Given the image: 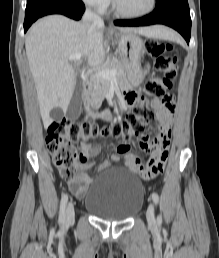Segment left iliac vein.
<instances>
[{"label": "left iliac vein", "instance_id": "left-iliac-vein-1", "mask_svg": "<svg viewBox=\"0 0 219 258\" xmlns=\"http://www.w3.org/2000/svg\"><path fill=\"white\" fill-rule=\"evenodd\" d=\"M146 218L150 225L155 224V215H154V206L152 203L149 204L147 211H146Z\"/></svg>", "mask_w": 219, "mask_h": 258}]
</instances>
